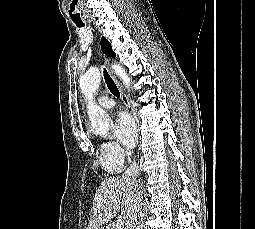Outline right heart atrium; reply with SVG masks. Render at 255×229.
Listing matches in <instances>:
<instances>
[{
	"label": "right heart atrium",
	"instance_id": "right-heart-atrium-1",
	"mask_svg": "<svg viewBox=\"0 0 255 229\" xmlns=\"http://www.w3.org/2000/svg\"><path fill=\"white\" fill-rule=\"evenodd\" d=\"M101 149L106 160L111 163L123 164L128 156V151L116 142H105Z\"/></svg>",
	"mask_w": 255,
	"mask_h": 229
}]
</instances>
